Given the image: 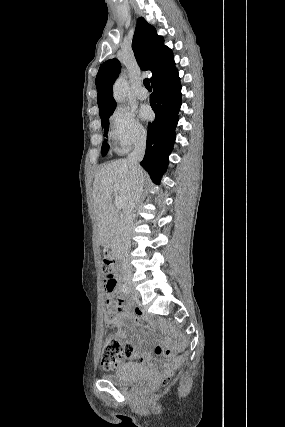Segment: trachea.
I'll use <instances>...</instances> for the list:
<instances>
[{
  "mask_svg": "<svg viewBox=\"0 0 285 427\" xmlns=\"http://www.w3.org/2000/svg\"><path fill=\"white\" fill-rule=\"evenodd\" d=\"M143 83H144V86H145L148 90H151V89H152V88H151V85H150V82H149V80H148V78L144 79Z\"/></svg>",
  "mask_w": 285,
  "mask_h": 427,
  "instance_id": "trachea-1",
  "label": "trachea"
}]
</instances>
